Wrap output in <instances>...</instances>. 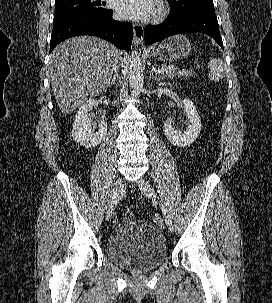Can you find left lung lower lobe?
<instances>
[{
    "mask_svg": "<svg viewBox=\"0 0 272 303\" xmlns=\"http://www.w3.org/2000/svg\"><path fill=\"white\" fill-rule=\"evenodd\" d=\"M187 32L207 34L223 48L215 12L187 13L168 17L162 24L156 26L148 25L145 27V43L151 45L169 36Z\"/></svg>",
    "mask_w": 272,
    "mask_h": 303,
    "instance_id": "left-lung-lower-lobe-1",
    "label": "left lung lower lobe"
}]
</instances>
